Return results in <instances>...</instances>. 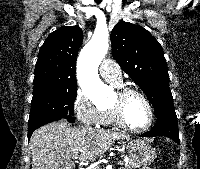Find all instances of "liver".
Returning <instances> with one entry per match:
<instances>
[{
	"label": "liver",
	"instance_id": "1",
	"mask_svg": "<svg viewBox=\"0 0 200 169\" xmlns=\"http://www.w3.org/2000/svg\"><path fill=\"white\" fill-rule=\"evenodd\" d=\"M128 137L115 131L71 127L66 121L52 122L31 136L32 169H73L72 159L93 161L116 140Z\"/></svg>",
	"mask_w": 200,
	"mask_h": 169
}]
</instances>
